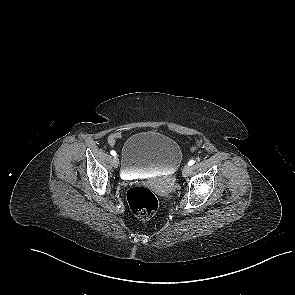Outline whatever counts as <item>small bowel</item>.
Here are the masks:
<instances>
[{
    "label": "small bowel",
    "mask_w": 295,
    "mask_h": 295,
    "mask_svg": "<svg viewBox=\"0 0 295 295\" xmlns=\"http://www.w3.org/2000/svg\"><path fill=\"white\" fill-rule=\"evenodd\" d=\"M121 136V131L117 130L109 135L107 141L110 146H114L116 144L117 139ZM199 143L193 147V150L197 149Z\"/></svg>",
    "instance_id": "c3829d8e"
}]
</instances>
